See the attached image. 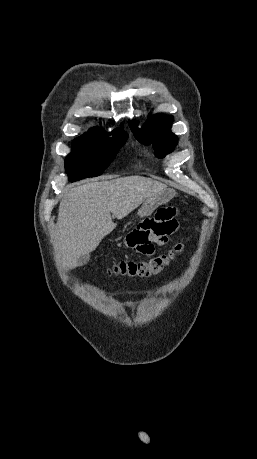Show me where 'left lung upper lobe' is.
Segmentation results:
<instances>
[{"label":"left lung upper lobe","instance_id":"left-lung-upper-lobe-1","mask_svg":"<svg viewBox=\"0 0 257 459\" xmlns=\"http://www.w3.org/2000/svg\"><path fill=\"white\" fill-rule=\"evenodd\" d=\"M172 122V116L155 115L140 130L131 121L129 126L141 143L145 145L153 143L156 155L162 158L172 152L177 145V137L170 131Z\"/></svg>","mask_w":257,"mask_h":459}]
</instances>
